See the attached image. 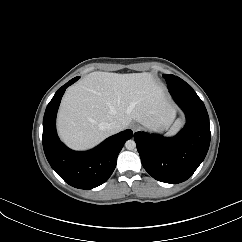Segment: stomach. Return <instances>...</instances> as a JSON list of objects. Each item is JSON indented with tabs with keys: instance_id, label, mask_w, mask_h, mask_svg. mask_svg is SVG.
I'll return each mask as SVG.
<instances>
[{
	"instance_id": "0dacf381",
	"label": "stomach",
	"mask_w": 242,
	"mask_h": 242,
	"mask_svg": "<svg viewBox=\"0 0 242 242\" xmlns=\"http://www.w3.org/2000/svg\"><path fill=\"white\" fill-rule=\"evenodd\" d=\"M170 124V122H167V123H164V124H161L160 126H157L159 129H166L168 127V125Z\"/></svg>"
}]
</instances>
